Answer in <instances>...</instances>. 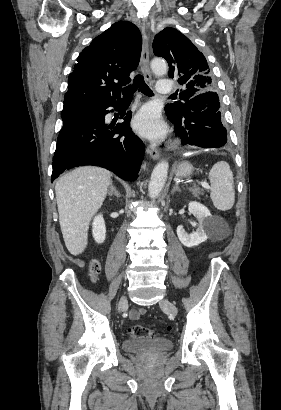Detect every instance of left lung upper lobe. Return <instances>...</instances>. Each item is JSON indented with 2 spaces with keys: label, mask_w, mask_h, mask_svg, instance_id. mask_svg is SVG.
I'll return each instance as SVG.
<instances>
[{
  "label": "left lung upper lobe",
  "mask_w": 281,
  "mask_h": 410,
  "mask_svg": "<svg viewBox=\"0 0 281 410\" xmlns=\"http://www.w3.org/2000/svg\"><path fill=\"white\" fill-rule=\"evenodd\" d=\"M153 52L163 57L169 65V77L177 79L183 86L178 101L167 104L165 112L169 118H180L185 112L186 102L204 93H216V84L204 55L181 32L165 28L153 40Z\"/></svg>",
  "instance_id": "1"
}]
</instances>
